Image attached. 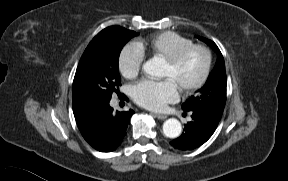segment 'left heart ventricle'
<instances>
[{"mask_svg": "<svg viewBox=\"0 0 288 181\" xmlns=\"http://www.w3.org/2000/svg\"><path fill=\"white\" fill-rule=\"evenodd\" d=\"M204 67V54L201 51H193L175 67L163 63L160 77L170 79L178 89H182L196 82Z\"/></svg>", "mask_w": 288, "mask_h": 181, "instance_id": "obj_1", "label": "left heart ventricle"}]
</instances>
